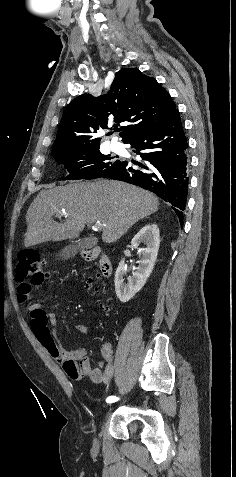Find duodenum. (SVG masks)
<instances>
[{
  "instance_id": "obj_1",
  "label": "duodenum",
  "mask_w": 236,
  "mask_h": 477,
  "mask_svg": "<svg viewBox=\"0 0 236 477\" xmlns=\"http://www.w3.org/2000/svg\"><path fill=\"white\" fill-rule=\"evenodd\" d=\"M82 257L87 261H98V267L103 277L108 278L112 272V264L108 256L99 247L82 251Z\"/></svg>"
}]
</instances>
